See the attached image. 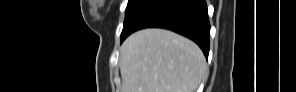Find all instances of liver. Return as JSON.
Instances as JSON below:
<instances>
[{
    "label": "liver",
    "instance_id": "1",
    "mask_svg": "<svg viewBox=\"0 0 296 92\" xmlns=\"http://www.w3.org/2000/svg\"><path fill=\"white\" fill-rule=\"evenodd\" d=\"M122 92H194L207 72L191 40L165 29H144L120 48Z\"/></svg>",
    "mask_w": 296,
    "mask_h": 92
}]
</instances>
